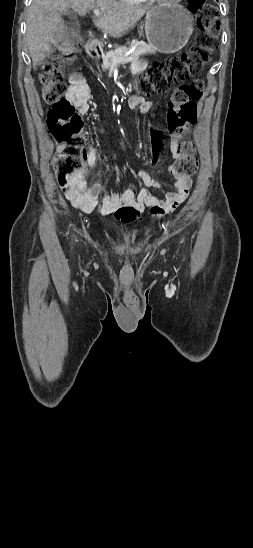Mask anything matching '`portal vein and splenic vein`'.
<instances>
[{
	"instance_id": "1",
	"label": "portal vein and splenic vein",
	"mask_w": 253,
	"mask_h": 548,
	"mask_svg": "<svg viewBox=\"0 0 253 548\" xmlns=\"http://www.w3.org/2000/svg\"><path fill=\"white\" fill-rule=\"evenodd\" d=\"M93 12H94V15H95V16L101 15V12H100L99 10H94ZM133 59H134L133 57L128 56V57H125V58H122V59L118 60V62H119V63H127V62L132 61ZM116 62H117V61L115 60V63H116Z\"/></svg>"
}]
</instances>
